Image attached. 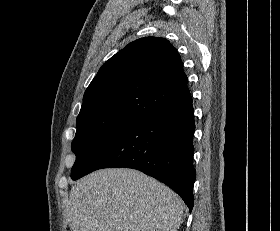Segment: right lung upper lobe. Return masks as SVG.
Wrapping results in <instances>:
<instances>
[{"instance_id":"obj_1","label":"right lung upper lobe","mask_w":280,"mask_h":231,"mask_svg":"<svg viewBox=\"0 0 280 231\" xmlns=\"http://www.w3.org/2000/svg\"><path fill=\"white\" fill-rule=\"evenodd\" d=\"M182 61L164 38L129 43L99 69L85 91L77 120L125 117L141 121L192 100Z\"/></svg>"}]
</instances>
